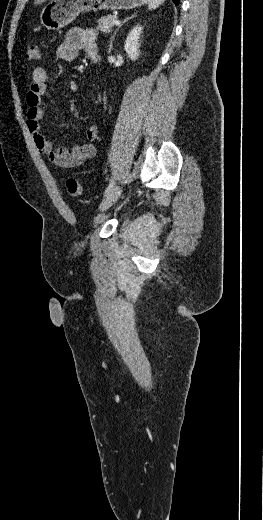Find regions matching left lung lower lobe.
I'll use <instances>...</instances> for the list:
<instances>
[{
    "label": "left lung lower lobe",
    "instance_id": "obj_1",
    "mask_svg": "<svg viewBox=\"0 0 263 520\" xmlns=\"http://www.w3.org/2000/svg\"><path fill=\"white\" fill-rule=\"evenodd\" d=\"M180 0H173V2L175 3V5H177L179 3Z\"/></svg>",
    "mask_w": 263,
    "mask_h": 520
}]
</instances>
